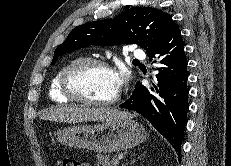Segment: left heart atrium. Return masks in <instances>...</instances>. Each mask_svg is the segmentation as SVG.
<instances>
[{"mask_svg":"<svg viewBox=\"0 0 231 166\" xmlns=\"http://www.w3.org/2000/svg\"><path fill=\"white\" fill-rule=\"evenodd\" d=\"M113 73H114V79H115L116 87H117L118 91H120L122 86L127 81V74L125 71H119V72H113Z\"/></svg>","mask_w":231,"mask_h":166,"instance_id":"1","label":"left heart atrium"}]
</instances>
